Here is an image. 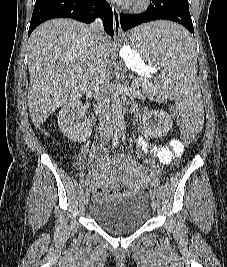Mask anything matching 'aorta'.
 <instances>
[{
    "instance_id": "aorta-1",
    "label": "aorta",
    "mask_w": 227,
    "mask_h": 267,
    "mask_svg": "<svg viewBox=\"0 0 227 267\" xmlns=\"http://www.w3.org/2000/svg\"><path fill=\"white\" fill-rule=\"evenodd\" d=\"M112 120L115 127H121L123 124L120 93L116 85L112 91Z\"/></svg>"
}]
</instances>
